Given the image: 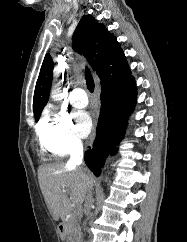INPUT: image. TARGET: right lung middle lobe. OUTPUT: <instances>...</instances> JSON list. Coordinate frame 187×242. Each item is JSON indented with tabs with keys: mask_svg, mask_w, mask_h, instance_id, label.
Instances as JSON below:
<instances>
[{
	"mask_svg": "<svg viewBox=\"0 0 187 242\" xmlns=\"http://www.w3.org/2000/svg\"><path fill=\"white\" fill-rule=\"evenodd\" d=\"M39 117H40V116L35 117V120L38 121Z\"/></svg>",
	"mask_w": 187,
	"mask_h": 242,
	"instance_id": "1",
	"label": "right lung middle lobe"
}]
</instances>
